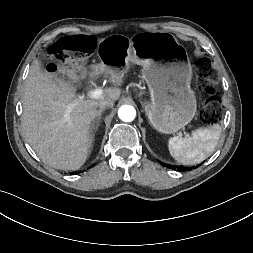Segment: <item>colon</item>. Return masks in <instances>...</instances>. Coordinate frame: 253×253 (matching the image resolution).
I'll return each instance as SVG.
<instances>
[{
  "label": "colon",
  "instance_id": "obj_1",
  "mask_svg": "<svg viewBox=\"0 0 253 253\" xmlns=\"http://www.w3.org/2000/svg\"><path fill=\"white\" fill-rule=\"evenodd\" d=\"M95 40L90 36H71L59 40L54 53L58 64H51L57 69L58 65L69 68L72 65H80L93 51ZM199 87L206 93L207 99L201 111L202 119L207 123H215L222 117L223 108L219 97L216 95L218 75L210 67L206 58L198 59L195 63Z\"/></svg>",
  "mask_w": 253,
  "mask_h": 253
}]
</instances>
